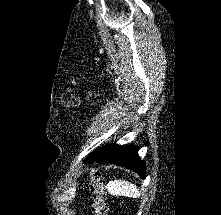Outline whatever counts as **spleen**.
<instances>
[{"label":"spleen","mask_w":221,"mask_h":215,"mask_svg":"<svg viewBox=\"0 0 221 215\" xmlns=\"http://www.w3.org/2000/svg\"><path fill=\"white\" fill-rule=\"evenodd\" d=\"M107 190L114 196L123 195L133 198L140 197V192L137 187L125 180H114L109 182Z\"/></svg>","instance_id":"3e777b00"}]
</instances>
